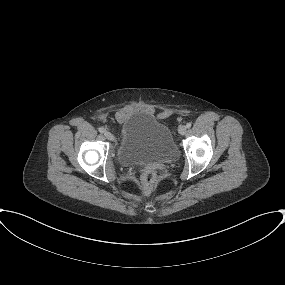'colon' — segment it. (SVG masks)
Returning <instances> with one entry per match:
<instances>
[{"label": "colon", "mask_w": 285, "mask_h": 285, "mask_svg": "<svg viewBox=\"0 0 285 285\" xmlns=\"http://www.w3.org/2000/svg\"><path fill=\"white\" fill-rule=\"evenodd\" d=\"M156 183V174L153 170H146L141 177L142 188L145 192L150 191Z\"/></svg>", "instance_id": "1"}]
</instances>
